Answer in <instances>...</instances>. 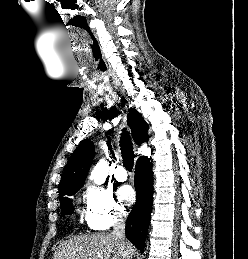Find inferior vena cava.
Segmentation results:
<instances>
[{
	"label": "inferior vena cava",
	"instance_id": "inferior-vena-cava-1",
	"mask_svg": "<svg viewBox=\"0 0 248 259\" xmlns=\"http://www.w3.org/2000/svg\"><path fill=\"white\" fill-rule=\"evenodd\" d=\"M112 234L116 236L121 241L125 239V218L124 214L119 213L115 217L113 232ZM132 257V256H131Z\"/></svg>",
	"mask_w": 248,
	"mask_h": 259
}]
</instances>
